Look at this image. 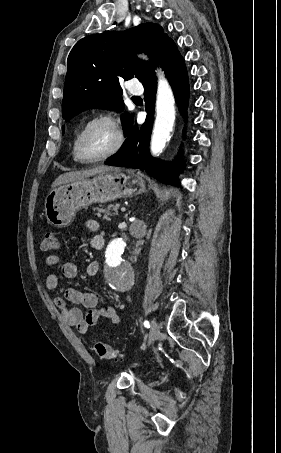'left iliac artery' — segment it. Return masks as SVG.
<instances>
[{
	"mask_svg": "<svg viewBox=\"0 0 281 453\" xmlns=\"http://www.w3.org/2000/svg\"><path fill=\"white\" fill-rule=\"evenodd\" d=\"M144 326H145L146 328H150L149 322H148V321H145V322H144Z\"/></svg>",
	"mask_w": 281,
	"mask_h": 453,
	"instance_id": "left-iliac-artery-1",
	"label": "left iliac artery"
}]
</instances>
